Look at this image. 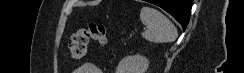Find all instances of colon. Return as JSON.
Returning <instances> with one entry per match:
<instances>
[{"mask_svg":"<svg viewBox=\"0 0 244 73\" xmlns=\"http://www.w3.org/2000/svg\"><path fill=\"white\" fill-rule=\"evenodd\" d=\"M91 40L102 46L109 43L105 25L97 22H89L85 27L76 29L69 43L70 59L75 62H80L86 56Z\"/></svg>","mask_w":244,"mask_h":73,"instance_id":"5ec220e1","label":"colon"}]
</instances>
